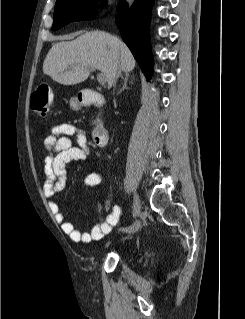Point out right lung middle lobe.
Segmentation results:
<instances>
[{
	"label": "right lung middle lobe",
	"instance_id": "right-lung-middle-lobe-1",
	"mask_svg": "<svg viewBox=\"0 0 245 319\" xmlns=\"http://www.w3.org/2000/svg\"><path fill=\"white\" fill-rule=\"evenodd\" d=\"M95 0H57L52 30H58L73 21L89 20L95 16Z\"/></svg>",
	"mask_w": 245,
	"mask_h": 319
}]
</instances>
